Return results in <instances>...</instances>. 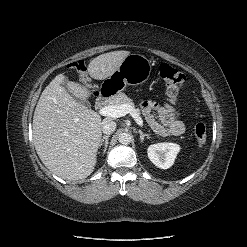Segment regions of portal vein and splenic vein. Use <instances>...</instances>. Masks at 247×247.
I'll use <instances>...</instances> for the list:
<instances>
[{
	"mask_svg": "<svg viewBox=\"0 0 247 247\" xmlns=\"http://www.w3.org/2000/svg\"><path fill=\"white\" fill-rule=\"evenodd\" d=\"M99 114L102 116L112 117V118H119L125 116L126 114H130L136 123L143 127V120L140 117L138 111L133 108L129 104H122V105H109L104 106L99 110Z\"/></svg>",
	"mask_w": 247,
	"mask_h": 247,
	"instance_id": "obj_1",
	"label": "portal vein and splenic vein"
}]
</instances>
